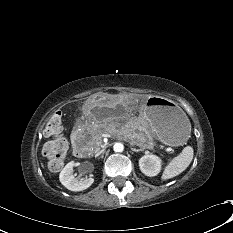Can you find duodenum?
<instances>
[{
  "label": "duodenum",
  "mask_w": 233,
  "mask_h": 233,
  "mask_svg": "<svg viewBox=\"0 0 233 233\" xmlns=\"http://www.w3.org/2000/svg\"><path fill=\"white\" fill-rule=\"evenodd\" d=\"M72 148L74 154L78 157H83L86 154V149L77 134L72 137Z\"/></svg>",
  "instance_id": "obj_1"
}]
</instances>
